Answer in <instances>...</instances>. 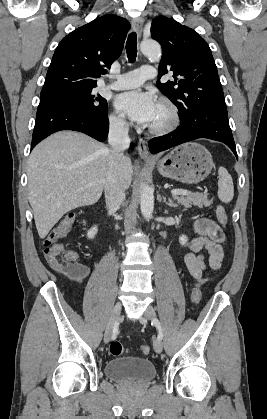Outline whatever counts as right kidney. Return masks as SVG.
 Listing matches in <instances>:
<instances>
[{
	"label": "right kidney",
	"mask_w": 267,
	"mask_h": 419,
	"mask_svg": "<svg viewBox=\"0 0 267 419\" xmlns=\"http://www.w3.org/2000/svg\"><path fill=\"white\" fill-rule=\"evenodd\" d=\"M97 232H98V228L97 226H94L87 232V237L89 239H93L95 235L97 234Z\"/></svg>",
	"instance_id": "1"
}]
</instances>
